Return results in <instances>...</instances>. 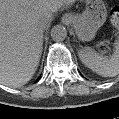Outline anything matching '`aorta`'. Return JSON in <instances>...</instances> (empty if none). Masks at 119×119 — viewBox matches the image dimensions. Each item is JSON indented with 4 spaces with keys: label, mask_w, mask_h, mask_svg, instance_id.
<instances>
[{
    "label": "aorta",
    "mask_w": 119,
    "mask_h": 119,
    "mask_svg": "<svg viewBox=\"0 0 119 119\" xmlns=\"http://www.w3.org/2000/svg\"><path fill=\"white\" fill-rule=\"evenodd\" d=\"M67 37V31L62 25H56L51 29V38L56 42H61Z\"/></svg>",
    "instance_id": "aorta-1"
}]
</instances>
